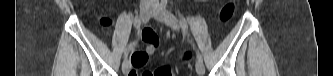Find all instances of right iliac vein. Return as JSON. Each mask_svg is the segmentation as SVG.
Listing matches in <instances>:
<instances>
[{
    "mask_svg": "<svg viewBox=\"0 0 333 76\" xmlns=\"http://www.w3.org/2000/svg\"><path fill=\"white\" fill-rule=\"evenodd\" d=\"M151 11H152V7L148 4L142 5L140 7V19L143 23L148 22V20L150 19L151 16ZM130 62L128 60H124L123 64H122V71L123 73H127L130 69Z\"/></svg>",
    "mask_w": 333,
    "mask_h": 76,
    "instance_id": "obj_1",
    "label": "right iliac vein"
}]
</instances>
